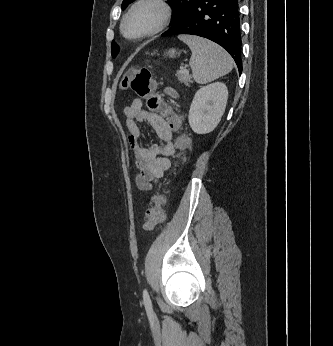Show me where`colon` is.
I'll return each instance as SVG.
<instances>
[{
	"mask_svg": "<svg viewBox=\"0 0 333 346\" xmlns=\"http://www.w3.org/2000/svg\"><path fill=\"white\" fill-rule=\"evenodd\" d=\"M123 88L131 89L139 98L146 100L151 110H157L162 102L160 93L157 90L151 71L148 68H132L130 69L123 81ZM163 114L168 117L174 129L179 127L180 118L171 113L169 107H165ZM190 144V137L186 133H181L176 141V146L181 151L177 160L185 159L184 151ZM164 197L162 194H156L152 198V206L146 210L143 230L152 231L157 225L164 221Z\"/></svg>",
	"mask_w": 333,
	"mask_h": 346,
	"instance_id": "5ec220e1",
	"label": "colon"
}]
</instances>
